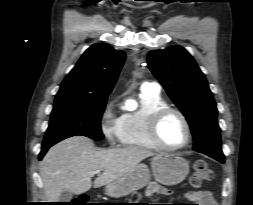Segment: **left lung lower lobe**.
<instances>
[{"label": "left lung lower lobe", "instance_id": "left-lung-lower-lobe-1", "mask_svg": "<svg viewBox=\"0 0 253 205\" xmlns=\"http://www.w3.org/2000/svg\"><path fill=\"white\" fill-rule=\"evenodd\" d=\"M216 160H217V159H216ZM218 161H220L221 163H224V160L219 159Z\"/></svg>", "mask_w": 253, "mask_h": 205}]
</instances>
